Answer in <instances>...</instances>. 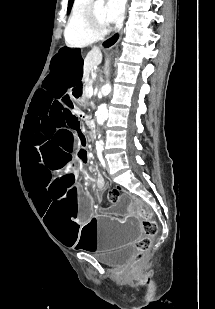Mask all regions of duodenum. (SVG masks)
I'll use <instances>...</instances> for the list:
<instances>
[{
    "instance_id": "obj_1",
    "label": "duodenum",
    "mask_w": 215,
    "mask_h": 309,
    "mask_svg": "<svg viewBox=\"0 0 215 309\" xmlns=\"http://www.w3.org/2000/svg\"><path fill=\"white\" fill-rule=\"evenodd\" d=\"M89 128L93 134L97 132V123L94 118H89Z\"/></svg>"
}]
</instances>
